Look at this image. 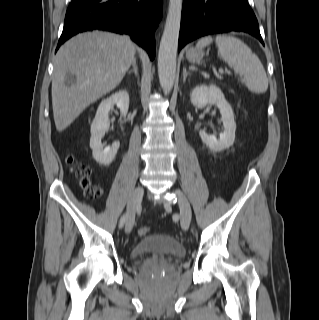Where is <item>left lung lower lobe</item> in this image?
<instances>
[{
	"label": "left lung lower lobe",
	"mask_w": 319,
	"mask_h": 320,
	"mask_svg": "<svg viewBox=\"0 0 319 320\" xmlns=\"http://www.w3.org/2000/svg\"><path fill=\"white\" fill-rule=\"evenodd\" d=\"M241 31L258 38V21L248 0H183L178 51L198 37Z\"/></svg>",
	"instance_id": "0a47b994"
}]
</instances>
